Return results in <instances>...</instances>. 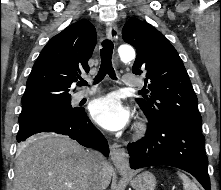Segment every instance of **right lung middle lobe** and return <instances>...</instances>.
<instances>
[{"label":"right lung middle lobe","instance_id":"dd1d6c3e","mask_svg":"<svg viewBox=\"0 0 221 190\" xmlns=\"http://www.w3.org/2000/svg\"><path fill=\"white\" fill-rule=\"evenodd\" d=\"M79 110V108H72L71 98L23 107L19 116V132L49 120L71 119Z\"/></svg>","mask_w":221,"mask_h":190}]
</instances>
